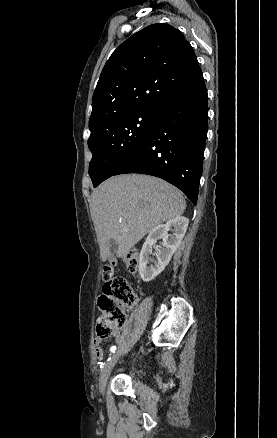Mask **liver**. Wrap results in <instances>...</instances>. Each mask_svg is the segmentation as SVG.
<instances>
[{
  "mask_svg": "<svg viewBox=\"0 0 277 438\" xmlns=\"http://www.w3.org/2000/svg\"><path fill=\"white\" fill-rule=\"evenodd\" d=\"M186 202L177 188L154 176L122 174L113 176L91 194V214L103 262L111 256L109 244H117V258L150 230L167 220L182 216Z\"/></svg>",
  "mask_w": 277,
  "mask_h": 438,
  "instance_id": "liver-1",
  "label": "liver"
}]
</instances>
